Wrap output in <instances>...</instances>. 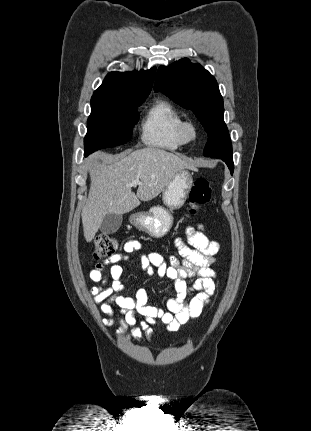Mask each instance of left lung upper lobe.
Instances as JSON below:
<instances>
[{
    "label": "left lung upper lobe",
    "mask_w": 311,
    "mask_h": 431,
    "mask_svg": "<svg viewBox=\"0 0 311 431\" xmlns=\"http://www.w3.org/2000/svg\"><path fill=\"white\" fill-rule=\"evenodd\" d=\"M155 90L180 106L192 110L208 135L203 155H232V145L223 119L224 106L215 78L199 64L181 59L157 72Z\"/></svg>",
    "instance_id": "5c2ea615"
}]
</instances>
